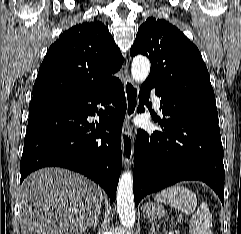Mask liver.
<instances>
[{
  "label": "liver",
  "instance_id": "obj_1",
  "mask_svg": "<svg viewBox=\"0 0 241 234\" xmlns=\"http://www.w3.org/2000/svg\"><path fill=\"white\" fill-rule=\"evenodd\" d=\"M103 190L62 168H43L20 187L22 234H82L101 210Z\"/></svg>",
  "mask_w": 241,
  "mask_h": 234
}]
</instances>
